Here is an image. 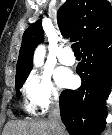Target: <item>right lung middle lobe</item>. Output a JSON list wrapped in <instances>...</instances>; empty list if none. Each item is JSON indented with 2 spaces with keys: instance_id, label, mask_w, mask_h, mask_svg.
<instances>
[{
  "instance_id": "dd1d6c3e",
  "label": "right lung middle lobe",
  "mask_w": 112,
  "mask_h": 135,
  "mask_svg": "<svg viewBox=\"0 0 112 135\" xmlns=\"http://www.w3.org/2000/svg\"><path fill=\"white\" fill-rule=\"evenodd\" d=\"M28 75H24L21 77L16 78V90H17V97H19L21 95V92L19 91L20 88L22 87V85L24 84L25 80L27 79Z\"/></svg>"
}]
</instances>
